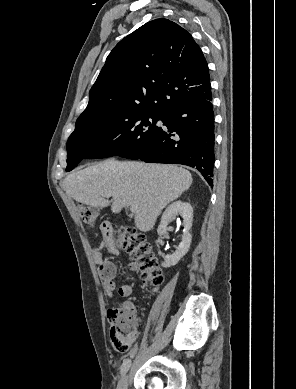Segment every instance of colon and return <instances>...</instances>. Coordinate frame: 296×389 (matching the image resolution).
Segmentation results:
<instances>
[{
  "mask_svg": "<svg viewBox=\"0 0 296 389\" xmlns=\"http://www.w3.org/2000/svg\"><path fill=\"white\" fill-rule=\"evenodd\" d=\"M78 213L88 226H94L100 217L96 207L85 204L78 206ZM113 243L116 247L127 251L139 265L141 279L145 285L158 288L163 283L164 276L158 259L144 234L130 228H123ZM108 319L114 348L120 352L127 351L138 335L137 318L133 307L112 308L108 311Z\"/></svg>",
  "mask_w": 296,
  "mask_h": 389,
  "instance_id": "5ec220e1",
  "label": "colon"
}]
</instances>
